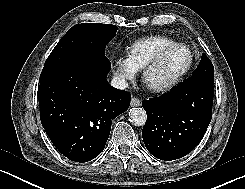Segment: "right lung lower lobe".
Segmentation results:
<instances>
[{
	"label": "right lung lower lobe",
	"mask_w": 245,
	"mask_h": 189,
	"mask_svg": "<svg viewBox=\"0 0 245 189\" xmlns=\"http://www.w3.org/2000/svg\"><path fill=\"white\" fill-rule=\"evenodd\" d=\"M109 70L105 55L90 54L40 83L42 126L58 151L72 161L97 157L105 148L112 120L130 105V93L107 82Z\"/></svg>",
	"instance_id": "right-lung-lower-lobe-1"
}]
</instances>
